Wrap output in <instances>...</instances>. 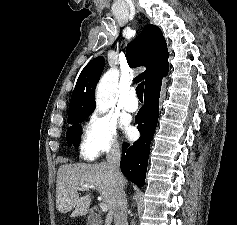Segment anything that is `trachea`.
I'll return each mask as SVG.
<instances>
[{
    "mask_svg": "<svg viewBox=\"0 0 237 225\" xmlns=\"http://www.w3.org/2000/svg\"><path fill=\"white\" fill-rule=\"evenodd\" d=\"M143 91H144V83H140L138 84L137 88H136V93H137V97L140 100H143Z\"/></svg>",
    "mask_w": 237,
    "mask_h": 225,
    "instance_id": "1",
    "label": "trachea"
}]
</instances>
